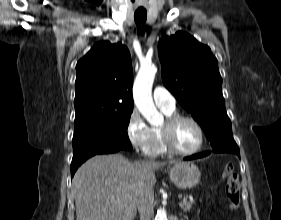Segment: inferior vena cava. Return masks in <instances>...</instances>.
Masks as SVG:
<instances>
[{
    "label": "inferior vena cava",
    "mask_w": 281,
    "mask_h": 220,
    "mask_svg": "<svg viewBox=\"0 0 281 220\" xmlns=\"http://www.w3.org/2000/svg\"><path fill=\"white\" fill-rule=\"evenodd\" d=\"M154 193L152 189L142 191L137 198L140 220H151L154 214Z\"/></svg>",
    "instance_id": "602c4592"
}]
</instances>
